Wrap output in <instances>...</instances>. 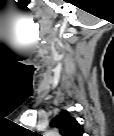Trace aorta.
<instances>
[{
  "label": "aorta",
  "instance_id": "aorta-1",
  "mask_svg": "<svg viewBox=\"0 0 114 136\" xmlns=\"http://www.w3.org/2000/svg\"><path fill=\"white\" fill-rule=\"evenodd\" d=\"M47 135H56L54 132L47 133Z\"/></svg>",
  "mask_w": 114,
  "mask_h": 136
}]
</instances>
